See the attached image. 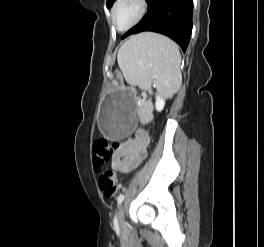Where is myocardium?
Here are the masks:
<instances>
[{
  "mask_svg": "<svg viewBox=\"0 0 264 247\" xmlns=\"http://www.w3.org/2000/svg\"><path fill=\"white\" fill-rule=\"evenodd\" d=\"M125 0H115V2L113 3L112 7H111V11H110V21L112 23V25L118 30V31H127L129 29H131L132 27H134L135 25H137L142 19L143 17L146 15L147 11H148V1L147 0H135L137 6H138V13L136 15V17L133 19V21L127 25L126 27H119L116 23H115V12L118 8V6L123 3Z\"/></svg>",
  "mask_w": 264,
  "mask_h": 247,
  "instance_id": "myocardium-1",
  "label": "myocardium"
}]
</instances>
